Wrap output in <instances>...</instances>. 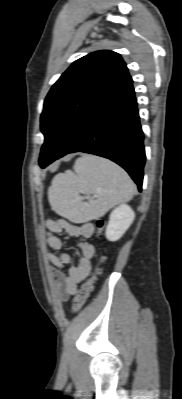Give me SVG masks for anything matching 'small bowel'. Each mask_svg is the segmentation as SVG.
<instances>
[{
  "label": "small bowel",
  "instance_id": "c3829d8e",
  "mask_svg": "<svg viewBox=\"0 0 182 399\" xmlns=\"http://www.w3.org/2000/svg\"><path fill=\"white\" fill-rule=\"evenodd\" d=\"M47 229V243L51 249L58 252L46 253L53 285L57 297L61 301H66L77 292L78 284L89 275L96 249L90 242H80L81 258L76 264L71 265L72 257L63 251L64 241L60 235L67 234L87 239L93 235L95 228L92 223L75 224L65 219H50L47 221Z\"/></svg>",
  "mask_w": 182,
  "mask_h": 399
}]
</instances>
